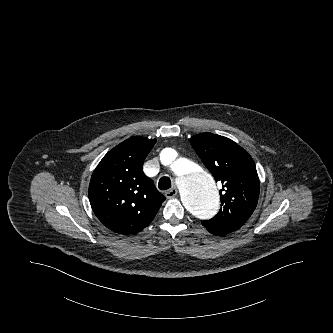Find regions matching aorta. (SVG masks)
Wrapping results in <instances>:
<instances>
[{
  "mask_svg": "<svg viewBox=\"0 0 333 333\" xmlns=\"http://www.w3.org/2000/svg\"><path fill=\"white\" fill-rule=\"evenodd\" d=\"M160 159L176 174L184 207L200 220L213 217L217 213L220 203L213 177L208 172L199 169L192 160L178 158L174 149H164L160 154Z\"/></svg>",
  "mask_w": 333,
  "mask_h": 333,
  "instance_id": "1",
  "label": "aorta"
}]
</instances>
